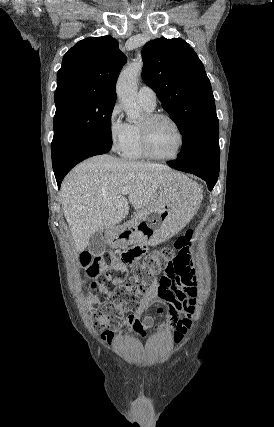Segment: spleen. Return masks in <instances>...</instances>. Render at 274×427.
<instances>
[{
    "label": "spleen",
    "mask_w": 274,
    "mask_h": 427,
    "mask_svg": "<svg viewBox=\"0 0 274 427\" xmlns=\"http://www.w3.org/2000/svg\"><path fill=\"white\" fill-rule=\"evenodd\" d=\"M194 184H195V186H198V184H196V182H194ZM198 188H199V186H198ZM197 196H198V200H199V204H200V202L202 200V194H201L200 188H199V192H198ZM198 208H199V206H198Z\"/></svg>",
    "instance_id": "3e777b00"
}]
</instances>
